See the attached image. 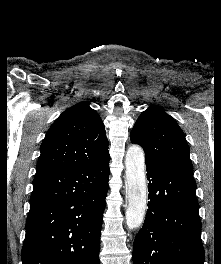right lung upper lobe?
Wrapping results in <instances>:
<instances>
[{
  "label": "right lung upper lobe",
  "mask_w": 221,
  "mask_h": 264,
  "mask_svg": "<svg viewBox=\"0 0 221 264\" xmlns=\"http://www.w3.org/2000/svg\"><path fill=\"white\" fill-rule=\"evenodd\" d=\"M40 151L35 176L97 164L109 157L104 124L87 103H78L52 124Z\"/></svg>",
  "instance_id": "1"
}]
</instances>
